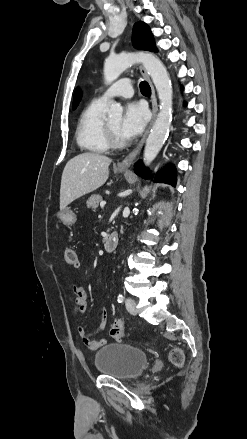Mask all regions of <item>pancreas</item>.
<instances>
[{"instance_id":"1","label":"pancreas","mask_w":247,"mask_h":439,"mask_svg":"<svg viewBox=\"0 0 247 439\" xmlns=\"http://www.w3.org/2000/svg\"><path fill=\"white\" fill-rule=\"evenodd\" d=\"M103 201L102 196L95 194L92 195L86 202V206L87 208H91V209H96L99 205V203H101Z\"/></svg>"}]
</instances>
